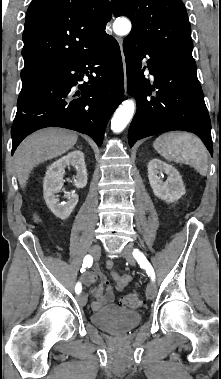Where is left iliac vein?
Instances as JSON below:
<instances>
[{"label": "left iliac vein", "mask_w": 221, "mask_h": 379, "mask_svg": "<svg viewBox=\"0 0 221 379\" xmlns=\"http://www.w3.org/2000/svg\"><path fill=\"white\" fill-rule=\"evenodd\" d=\"M132 250H133V246L132 245H127L124 248V250H123V254H124L125 259L127 260V262L129 264H131V265H134L135 264V259L132 256ZM156 293H157V287H156V285L153 282H150L147 285V288H146V297H147V299L148 300H152L156 296Z\"/></svg>", "instance_id": "obj_1"}]
</instances>
